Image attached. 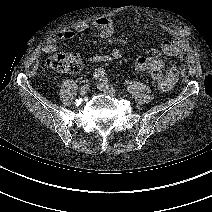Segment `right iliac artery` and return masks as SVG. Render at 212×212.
Masks as SVG:
<instances>
[{
	"label": "right iliac artery",
	"instance_id": "obj_1",
	"mask_svg": "<svg viewBox=\"0 0 212 212\" xmlns=\"http://www.w3.org/2000/svg\"><path fill=\"white\" fill-rule=\"evenodd\" d=\"M104 75H105V70L103 68H97L93 72V77L94 78L103 77Z\"/></svg>",
	"mask_w": 212,
	"mask_h": 212
}]
</instances>
